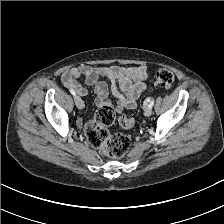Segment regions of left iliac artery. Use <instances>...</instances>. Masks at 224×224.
<instances>
[{"label":"left iliac artery","instance_id":"44dca946","mask_svg":"<svg viewBox=\"0 0 224 224\" xmlns=\"http://www.w3.org/2000/svg\"><path fill=\"white\" fill-rule=\"evenodd\" d=\"M148 101L150 102L149 105H150L151 107H153V105H154V98H151V99H149Z\"/></svg>","mask_w":224,"mask_h":224}]
</instances>
